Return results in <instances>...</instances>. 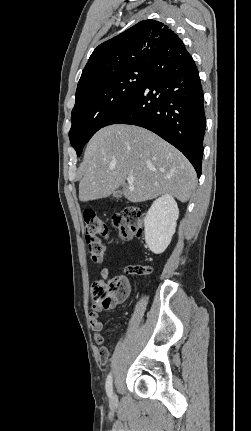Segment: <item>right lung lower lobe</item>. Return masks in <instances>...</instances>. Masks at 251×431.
Instances as JSON below:
<instances>
[{"mask_svg":"<svg viewBox=\"0 0 251 431\" xmlns=\"http://www.w3.org/2000/svg\"><path fill=\"white\" fill-rule=\"evenodd\" d=\"M120 123L141 126L162 137L188 158L200 177L204 95L198 69L185 46L149 63L141 87L105 126Z\"/></svg>","mask_w":251,"mask_h":431,"instance_id":"obj_1","label":"right lung lower lobe"}]
</instances>
